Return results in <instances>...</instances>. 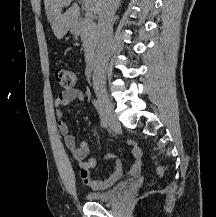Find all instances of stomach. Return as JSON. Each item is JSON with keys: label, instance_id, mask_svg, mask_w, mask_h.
<instances>
[{"label": "stomach", "instance_id": "1", "mask_svg": "<svg viewBox=\"0 0 216 217\" xmlns=\"http://www.w3.org/2000/svg\"><path fill=\"white\" fill-rule=\"evenodd\" d=\"M71 33H76V28L75 27L71 28Z\"/></svg>", "mask_w": 216, "mask_h": 217}]
</instances>
